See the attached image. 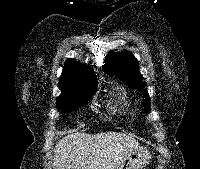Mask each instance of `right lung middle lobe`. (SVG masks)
Instances as JSON below:
<instances>
[{
    "label": "right lung middle lobe",
    "mask_w": 200,
    "mask_h": 169,
    "mask_svg": "<svg viewBox=\"0 0 200 169\" xmlns=\"http://www.w3.org/2000/svg\"><path fill=\"white\" fill-rule=\"evenodd\" d=\"M93 94V92H89L75 98L64 99V100H57V107L62 111H72L79 108L83 105Z\"/></svg>",
    "instance_id": "dd1d6c3e"
}]
</instances>
